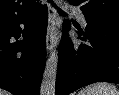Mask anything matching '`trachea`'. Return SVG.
<instances>
[{"label": "trachea", "mask_w": 119, "mask_h": 95, "mask_svg": "<svg viewBox=\"0 0 119 95\" xmlns=\"http://www.w3.org/2000/svg\"><path fill=\"white\" fill-rule=\"evenodd\" d=\"M50 3L52 4V6H54L55 8H57L58 9V12L60 13V14H65L61 9H59L56 5H55V3L53 2V1H50Z\"/></svg>", "instance_id": "obj_1"}]
</instances>
